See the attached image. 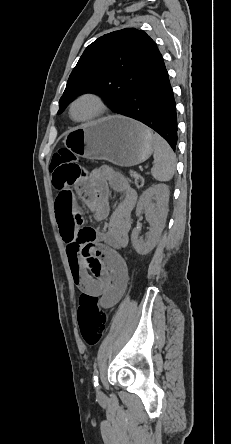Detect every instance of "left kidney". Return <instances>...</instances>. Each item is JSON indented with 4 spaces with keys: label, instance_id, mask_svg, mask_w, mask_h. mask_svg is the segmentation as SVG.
Here are the masks:
<instances>
[{
    "label": "left kidney",
    "instance_id": "obj_1",
    "mask_svg": "<svg viewBox=\"0 0 231 444\" xmlns=\"http://www.w3.org/2000/svg\"><path fill=\"white\" fill-rule=\"evenodd\" d=\"M169 187L166 184H156L145 190L139 198L136 214L145 211L150 223V231L144 240L139 237L140 230L134 228L131 241L134 249L140 255L148 254L159 241L168 214ZM155 200L156 203H153Z\"/></svg>",
    "mask_w": 231,
    "mask_h": 444
}]
</instances>
